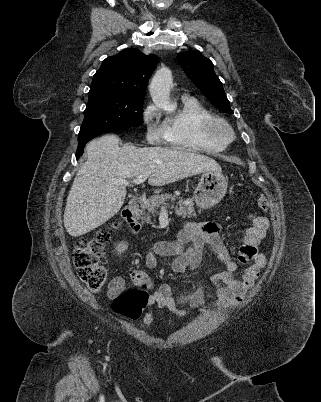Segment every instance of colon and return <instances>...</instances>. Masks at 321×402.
<instances>
[{"mask_svg":"<svg viewBox=\"0 0 321 402\" xmlns=\"http://www.w3.org/2000/svg\"><path fill=\"white\" fill-rule=\"evenodd\" d=\"M257 204L263 211H268L269 201L266 197L260 196ZM120 226V221L116 220L111 227L119 229ZM110 239V232L103 230L92 239H79L75 243L73 262L80 280L91 291L101 290L108 279V270L101 264L100 258ZM148 301L149 294L145 289L132 288L115 297L112 306L116 314L129 320H138Z\"/></svg>","mask_w":321,"mask_h":402,"instance_id":"1","label":"colon"}]
</instances>
